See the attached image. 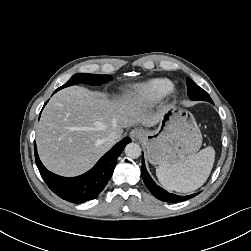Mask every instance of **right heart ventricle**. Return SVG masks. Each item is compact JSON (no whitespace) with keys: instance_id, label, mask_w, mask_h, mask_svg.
Returning <instances> with one entry per match:
<instances>
[{"instance_id":"obj_1","label":"right heart ventricle","mask_w":251,"mask_h":251,"mask_svg":"<svg viewBox=\"0 0 251 251\" xmlns=\"http://www.w3.org/2000/svg\"><path fill=\"white\" fill-rule=\"evenodd\" d=\"M173 82L168 78H154L135 88L136 96L146 102H157L173 89Z\"/></svg>"}]
</instances>
